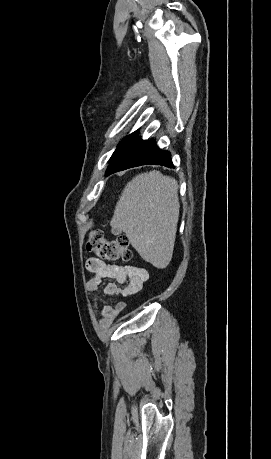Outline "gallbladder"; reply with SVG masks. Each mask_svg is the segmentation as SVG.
Returning <instances> with one entry per match:
<instances>
[{
    "label": "gallbladder",
    "mask_w": 271,
    "mask_h": 459,
    "mask_svg": "<svg viewBox=\"0 0 271 459\" xmlns=\"http://www.w3.org/2000/svg\"><path fill=\"white\" fill-rule=\"evenodd\" d=\"M122 229L120 228H111V233H114V235H119L121 233Z\"/></svg>",
    "instance_id": "obj_1"
}]
</instances>
